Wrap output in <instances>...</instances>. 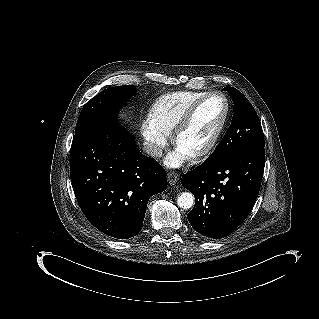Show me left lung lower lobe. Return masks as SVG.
Returning <instances> with one entry per match:
<instances>
[{
    "label": "left lung lower lobe",
    "instance_id": "1",
    "mask_svg": "<svg viewBox=\"0 0 319 319\" xmlns=\"http://www.w3.org/2000/svg\"><path fill=\"white\" fill-rule=\"evenodd\" d=\"M265 166L264 148L236 153L218 163L203 162L182 176L196 199L188 213L205 239H221L246 219L258 196Z\"/></svg>",
    "mask_w": 319,
    "mask_h": 319
}]
</instances>
